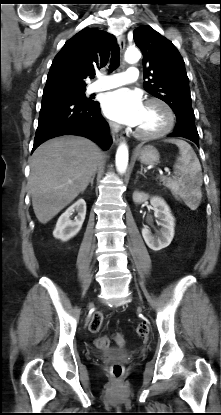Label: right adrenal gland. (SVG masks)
<instances>
[{"mask_svg":"<svg viewBox=\"0 0 221 415\" xmlns=\"http://www.w3.org/2000/svg\"><path fill=\"white\" fill-rule=\"evenodd\" d=\"M94 178H95V174L92 176V178L90 179V185H91V187H93V181H94Z\"/></svg>","mask_w":221,"mask_h":415,"instance_id":"obj_1","label":"right adrenal gland"}]
</instances>
